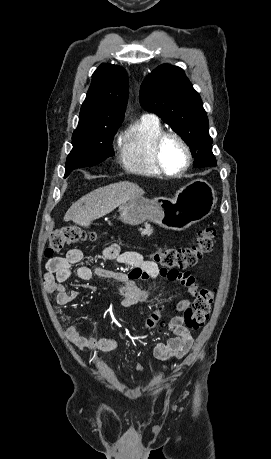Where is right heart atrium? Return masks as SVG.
<instances>
[{
	"mask_svg": "<svg viewBox=\"0 0 271 459\" xmlns=\"http://www.w3.org/2000/svg\"><path fill=\"white\" fill-rule=\"evenodd\" d=\"M115 138H116V140H120V136H118V135H116Z\"/></svg>",
	"mask_w": 271,
	"mask_h": 459,
	"instance_id": "1",
	"label": "right heart atrium"
}]
</instances>
